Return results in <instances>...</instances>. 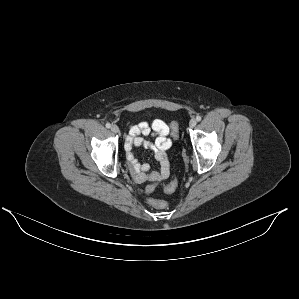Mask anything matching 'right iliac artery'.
Listing matches in <instances>:
<instances>
[{
  "instance_id": "1",
  "label": "right iliac artery",
  "mask_w": 299,
  "mask_h": 299,
  "mask_svg": "<svg viewBox=\"0 0 299 299\" xmlns=\"http://www.w3.org/2000/svg\"><path fill=\"white\" fill-rule=\"evenodd\" d=\"M111 124L110 123H106V128H110Z\"/></svg>"
}]
</instances>
